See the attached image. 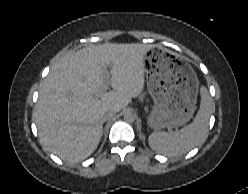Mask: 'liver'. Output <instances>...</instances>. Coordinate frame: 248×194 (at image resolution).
<instances>
[{"label": "liver", "instance_id": "liver-1", "mask_svg": "<svg viewBox=\"0 0 248 194\" xmlns=\"http://www.w3.org/2000/svg\"><path fill=\"white\" fill-rule=\"evenodd\" d=\"M152 45L105 43L64 56L39 91L34 118L41 144L61 159L78 162L97 148L104 115L125 108L144 89L143 57ZM110 68L113 91L96 97Z\"/></svg>", "mask_w": 248, "mask_h": 194}]
</instances>
